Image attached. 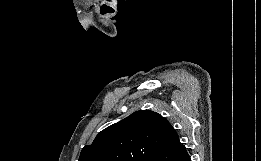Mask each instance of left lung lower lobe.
I'll return each instance as SVG.
<instances>
[{"label":"left lung lower lobe","instance_id":"0a47b994","mask_svg":"<svg viewBox=\"0 0 261 161\" xmlns=\"http://www.w3.org/2000/svg\"><path fill=\"white\" fill-rule=\"evenodd\" d=\"M150 161H191V159L185 146L176 136L168 146L161 147Z\"/></svg>","mask_w":261,"mask_h":161}]
</instances>
